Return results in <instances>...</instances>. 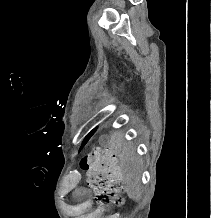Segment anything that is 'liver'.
<instances>
[{
	"mask_svg": "<svg viewBox=\"0 0 211 218\" xmlns=\"http://www.w3.org/2000/svg\"><path fill=\"white\" fill-rule=\"evenodd\" d=\"M110 148H114L120 160L121 180L125 192L129 198L139 200L142 194L139 186L142 162L137 158L133 144H125L122 132H113Z\"/></svg>",
	"mask_w": 211,
	"mask_h": 218,
	"instance_id": "obj_1",
	"label": "liver"
}]
</instances>
